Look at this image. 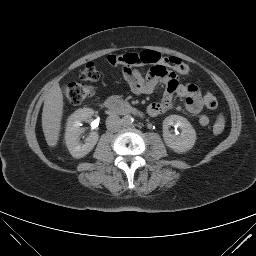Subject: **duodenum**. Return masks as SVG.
Segmentation results:
<instances>
[{
	"label": "duodenum",
	"instance_id": "1",
	"mask_svg": "<svg viewBox=\"0 0 256 256\" xmlns=\"http://www.w3.org/2000/svg\"><path fill=\"white\" fill-rule=\"evenodd\" d=\"M104 106L111 113L122 114V115L140 114L135 107L114 97L108 98L105 101Z\"/></svg>",
	"mask_w": 256,
	"mask_h": 256
}]
</instances>
